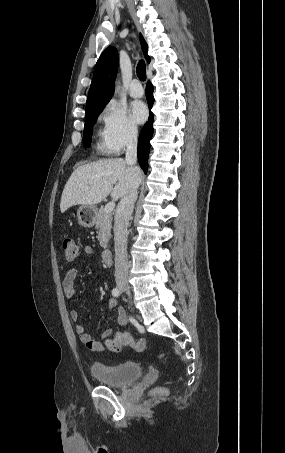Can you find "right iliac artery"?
Returning <instances> with one entry per match:
<instances>
[{
    "mask_svg": "<svg viewBox=\"0 0 285 453\" xmlns=\"http://www.w3.org/2000/svg\"><path fill=\"white\" fill-rule=\"evenodd\" d=\"M112 295H113L114 297H119V296H120V291H119L117 288H114V289L112 290Z\"/></svg>",
    "mask_w": 285,
    "mask_h": 453,
    "instance_id": "right-iliac-artery-1",
    "label": "right iliac artery"
}]
</instances>
